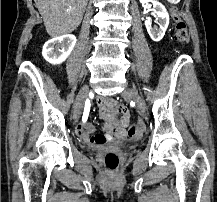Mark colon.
<instances>
[{
	"label": "colon",
	"mask_w": 217,
	"mask_h": 202,
	"mask_svg": "<svg viewBox=\"0 0 217 202\" xmlns=\"http://www.w3.org/2000/svg\"><path fill=\"white\" fill-rule=\"evenodd\" d=\"M173 21H174V36H175V39L178 42H181V43L188 42L189 34H188V31H187L186 23L177 14H175L173 16ZM129 130H130L129 131L130 135H136L137 127L132 126V127H130ZM104 163H105V166L109 170H114L119 165V156L114 152L107 153L105 155V157H104Z\"/></svg>",
	"instance_id": "obj_1"
}]
</instances>
